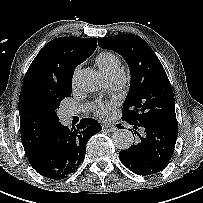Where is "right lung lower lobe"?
Listing matches in <instances>:
<instances>
[{"mask_svg":"<svg viewBox=\"0 0 203 203\" xmlns=\"http://www.w3.org/2000/svg\"><path fill=\"white\" fill-rule=\"evenodd\" d=\"M102 129L94 119H81L71 130L61 123L51 138L27 158L42 176L59 180L68 177L83 162L88 140Z\"/></svg>","mask_w":203,"mask_h":203,"instance_id":"98d812e1","label":"right lung lower lobe"}]
</instances>
